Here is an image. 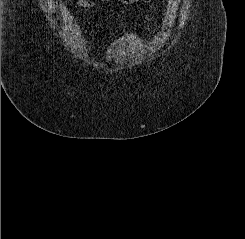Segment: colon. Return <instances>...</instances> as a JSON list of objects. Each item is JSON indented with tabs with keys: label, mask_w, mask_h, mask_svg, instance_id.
<instances>
[{
	"label": "colon",
	"mask_w": 245,
	"mask_h": 239,
	"mask_svg": "<svg viewBox=\"0 0 245 239\" xmlns=\"http://www.w3.org/2000/svg\"><path fill=\"white\" fill-rule=\"evenodd\" d=\"M121 1L126 3V4H130V3H134V2H138V1L149 2L151 0H121Z\"/></svg>",
	"instance_id": "obj_1"
}]
</instances>
